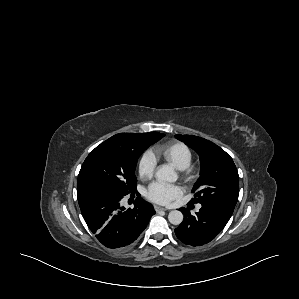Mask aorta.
<instances>
[{"label":"aorta","mask_w":299,"mask_h":299,"mask_svg":"<svg viewBox=\"0 0 299 299\" xmlns=\"http://www.w3.org/2000/svg\"><path fill=\"white\" fill-rule=\"evenodd\" d=\"M156 179L160 182H175L177 174L174 168L169 165L161 166L155 173ZM168 220L173 225H179L183 221V214L178 210L169 212Z\"/></svg>","instance_id":"1"}]
</instances>
